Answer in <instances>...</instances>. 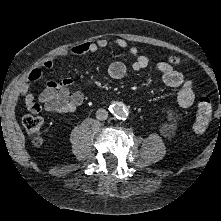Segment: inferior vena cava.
<instances>
[{
  "mask_svg": "<svg viewBox=\"0 0 221 221\" xmlns=\"http://www.w3.org/2000/svg\"><path fill=\"white\" fill-rule=\"evenodd\" d=\"M96 117L98 120H106L108 118V111L106 109L100 108L96 112Z\"/></svg>",
  "mask_w": 221,
  "mask_h": 221,
  "instance_id": "obj_1",
  "label": "inferior vena cava"
}]
</instances>
